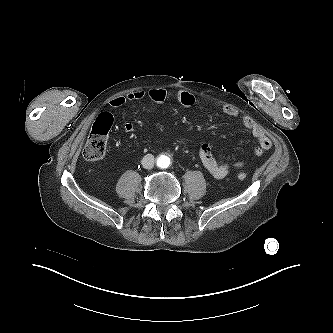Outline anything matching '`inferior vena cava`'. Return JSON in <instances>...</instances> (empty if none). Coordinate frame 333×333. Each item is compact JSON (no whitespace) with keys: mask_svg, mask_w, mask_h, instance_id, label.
<instances>
[{"mask_svg":"<svg viewBox=\"0 0 333 333\" xmlns=\"http://www.w3.org/2000/svg\"><path fill=\"white\" fill-rule=\"evenodd\" d=\"M141 164L145 169L153 168L155 164L154 156L152 154L145 155L141 161Z\"/></svg>","mask_w":333,"mask_h":333,"instance_id":"inferior-vena-cava-1","label":"inferior vena cava"}]
</instances>
